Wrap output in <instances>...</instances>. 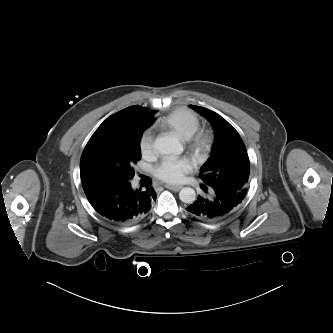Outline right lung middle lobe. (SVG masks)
Returning <instances> with one entry per match:
<instances>
[{"mask_svg":"<svg viewBox=\"0 0 333 333\" xmlns=\"http://www.w3.org/2000/svg\"><path fill=\"white\" fill-rule=\"evenodd\" d=\"M152 120L131 106L107 118L88 141L80 161L81 182L130 181L141 158L140 139Z\"/></svg>","mask_w":333,"mask_h":333,"instance_id":"obj_1","label":"right lung middle lobe"}]
</instances>
